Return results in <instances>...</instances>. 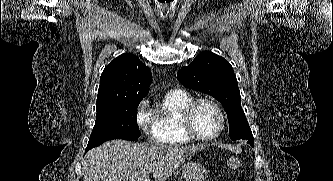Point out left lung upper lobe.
<instances>
[{
    "label": "left lung upper lobe",
    "instance_id": "1",
    "mask_svg": "<svg viewBox=\"0 0 333 181\" xmlns=\"http://www.w3.org/2000/svg\"><path fill=\"white\" fill-rule=\"evenodd\" d=\"M177 78L183 86L204 92L221 102L227 112L232 140L244 138L254 143L241 107L237 79L229 62L221 56L205 51L189 66L180 69Z\"/></svg>",
    "mask_w": 333,
    "mask_h": 181
}]
</instances>
